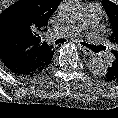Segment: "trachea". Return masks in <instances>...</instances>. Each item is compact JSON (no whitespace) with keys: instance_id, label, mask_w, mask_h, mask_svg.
<instances>
[{"instance_id":"3493384b","label":"trachea","mask_w":118,"mask_h":118,"mask_svg":"<svg viewBox=\"0 0 118 118\" xmlns=\"http://www.w3.org/2000/svg\"><path fill=\"white\" fill-rule=\"evenodd\" d=\"M64 42H66V39L60 38V39H57V40L55 41V45H59V44L64 43ZM82 45H84V46H86V47L92 49V46H91L90 44H87V43H84V42H83Z\"/></svg>"}]
</instances>
